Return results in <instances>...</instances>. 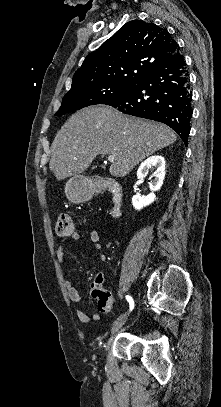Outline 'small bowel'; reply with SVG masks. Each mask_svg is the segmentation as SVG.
Instances as JSON below:
<instances>
[{
	"mask_svg": "<svg viewBox=\"0 0 221 407\" xmlns=\"http://www.w3.org/2000/svg\"><path fill=\"white\" fill-rule=\"evenodd\" d=\"M80 238H81V236L78 232H73V234L70 235L69 237L62 238L60 241V244L56 250V258L59 261H63L66 252L70 248L71 243L79 241ZM89 238L96 245L97 248H100V233L97 230H95V229L90 230ZM99 258L101 261H105L106 256L104 254H100ZM104 278H105V274L103 271H96L93 275L92 283L99 282L102 284V282L104 281ZM64 286H65L69 299L74 303H79L81 301V295H80L78 289L73 284V282L70 279L64 277ZM106 296L111 300L109 295H106ZM90 297L94 300H98V298L93 296V294L91 293V289H90ZM76 314H77L78 319L82 323H90L91 321H97L99 319V315H97V314L89 315L82 310H77Z\"/></svg>",
	"mask_w": 221,
	"mask_h": 407,
	"instance_id": "obj_1",
	"label": "small bowel"
}]
</instances>
